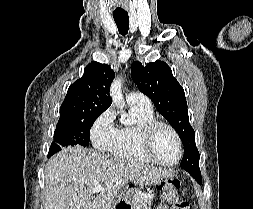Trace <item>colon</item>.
<instances>
[{"mask_svg": "<svg viewBox=\"0 0 253 209\" xmlns=\"http://www.w3.org/2000/svg\"><path fill=\"white\" fill-rule=\"evenodd\" d=\"M166 183H167V188H165L166 193L175 192L180 185L179 180L175 179V178L169 179ZM175 208L176 209H190V204H189V202H187L185 200H181L176 203Z\"/></svg>", "mask_w": 253, "mask_h": 209, "instance_id": "colon-1", "label": "colon"}]
</instances>
